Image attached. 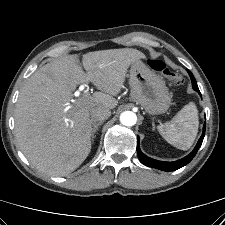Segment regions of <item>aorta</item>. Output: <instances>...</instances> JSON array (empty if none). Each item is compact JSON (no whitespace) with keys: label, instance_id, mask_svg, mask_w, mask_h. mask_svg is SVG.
Returning a JSON list of instances; mask_svg holds the SVG:
<instances>
[{"label":"aorta","instance_id":"obj_1","mask_svg":"<svg viewBox=\"0 0 225 225\" xmlns=\"http://www.w3.org/2000/svg\"><path fill=\"white\" fill-rule=\"evenodd\" d=\"M120 122L124 126H133L137 122V116L134 112L132 111H124L120 115Z\"/></svg>","mask_w":225,"mask_h":225}]
</instances>
